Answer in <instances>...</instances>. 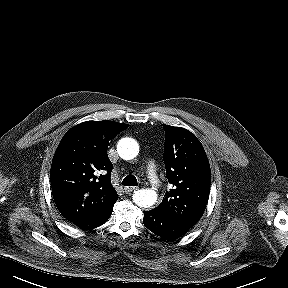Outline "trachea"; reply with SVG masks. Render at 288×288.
I'll return each mask as SVG.
<instances>
[{
	"label": "trachea",
	"mask_w": 288,
	"mask_h": 288,
	"mask_svg": "<svg viewBox=\"0 0 288 288\" xmlns=\"http://www.w3.org/2000/svg\"><path fill=\"white\" fill-rule=\"evenodd\" d=\"M122 185H124V186H137L138 182H137V179L135 176L128 175L123 179Z\"/></svg>",
	"instance_id": "3493384b"
}]
</instances>
